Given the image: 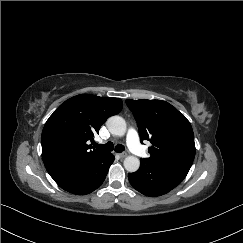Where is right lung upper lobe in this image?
<instances>
[{
  "instance_id": "right-lung-upper-lobe-1",
  "label": "right lung upper lobe",
  "mask_w": 243,
  "mask_h": 243,
  "mask_svg": "<svg viewBox=\"0 0 243 243\" xmlns=\"http://www.w3.org/2000/svg\"><path fill=\"white\" fill-rule=\"evenodd\" d=\"M119 98L80 94L62 103L42 131V158L50 175L85 165L107 152L92 149L94 134L106 119L118 114Z\"/></svg>"
}]
</instances>
